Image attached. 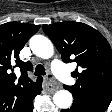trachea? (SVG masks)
Listing matches in <instances>:
<instances>
[{
  "instance_id": "1",
  "label": "trachea",
  "mask_w": 112,
  "mask_h": 112,
  "mask_svg": "<svg viewBox=\"0 0 112 112\" xmlns=\"http://www.w3.org/2000/svg\"><path fill=\"white\" fill-rule=\"evenodd\" d=\"M45 74H46V72H45L44 66L41 64L37 65L35 68L34 75L41 76V75H45Z\"/></svg>"
}]
</instances>
